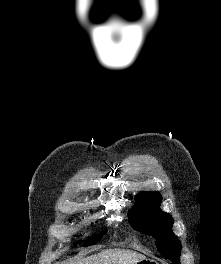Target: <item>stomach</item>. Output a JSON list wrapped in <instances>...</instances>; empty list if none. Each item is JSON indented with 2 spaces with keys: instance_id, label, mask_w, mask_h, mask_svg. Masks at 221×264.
<instances>
[{
  "instance_id": "1",
  "label": "stomach",
  "mask_w": 221,
  "mask_h": 264,
  "mask_svg": "<svg viewBox=\"0 0 221 264\" xmlns=\"http://www.w3.org/2000/svg\"><path fill=\"white\" fill-rule=\"evenodd\" d=\"M136 264H159V263L155 260L146 258V259L138 261Z\"/></svg>"
}]
</instances>
